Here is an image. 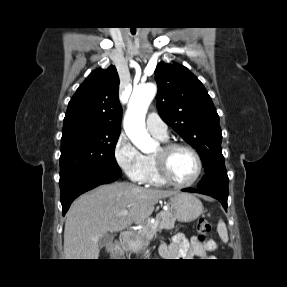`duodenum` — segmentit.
<instances>
[{
  "label": "duodenum",
  "instance_id": "410a0bca",
  "mask_svg": "<svg viewBox=\"0 0 287 287\" xmlns=\"http://www.w3.org/2000/svg\"><path fill=\"white\" fill-rule=\"evenodd\" d=\"M132 238V234L129 231L123 232L121 234V243L122 246L126 249L129 250L130 249V241Z\"/></svg>",
  "mask_w": 287,
  "mask_h": 287
}]
</instances>
